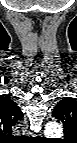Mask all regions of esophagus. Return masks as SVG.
Masks as SVG:
<instances>
[{
  "label": "esophagus",
  "mask_w": 77,
  "mask_h": 143,
  "mask_svg": "<svg viewBox=\"0 0 77 143\" xmlns=\"http://www.w3.org/2000/svg\"><path fill=\"white\" fill-rule=\"evenodd\" d=\"M24 129L26 130V127H23V130H24Z\"/></svg>",
  "instance_id": "34e87169"
}]
</instances>
